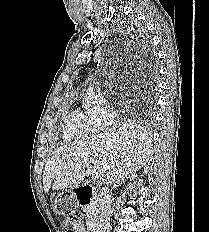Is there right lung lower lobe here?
Listing matches in <instances>:
<instances>
[{"label": "right lung lower lobe", "mask_w": 209, "mask_h": 232, "mask_svg": "<svg viewBox=\"0 0 209 232\" xmlns=\"http://www.w3.org/2000/svg\"><path fill=\"white\" fill-rule=\"evenodd\" d=\"M141 57L142 59L145 61L146 66L148 68H151L154 64H155V54L152 51L151 47L149 46V44H146L141 51ZM150 73V72H148ZM148 76H150V74H148Z\"/></svg>", "instance_id": "98d812e1"}]
</instances>
